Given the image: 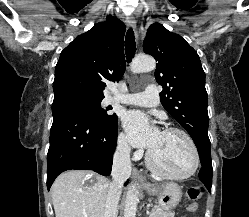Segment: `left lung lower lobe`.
Masks as SVG:
<instances>
[{
    "label": "left lung lower lobe",
    "mask_w": 249,
    "mask_h": 217,
    "mask_svg": "<svg viewBox=\"0 0 249 217\" xmlns=\"http://www.w3.org/2000/svg\"><path fill=\"white\" fill-rule=\"evenodd\" d=\"M212 175V162L206 161L205 165L202 164L201 170L199 172V178L204 183L209 192H211Z\"/></svg>",
    "instance_id": "left-lung-lower-lobe-1"
}]
</instances>
